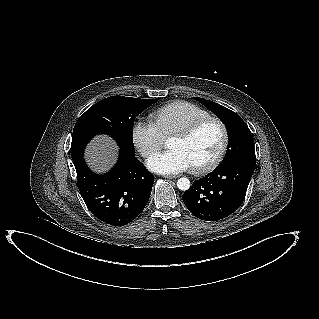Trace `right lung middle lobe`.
<instances>
[{"instance_id":"1","label":"right lung middle lobe","mask_w":319,"mask_h":319,"mask_svg":"<svg viewBox=\"0 0 319 319\" xmlns=\"http://www.w3.org/2000/svg\"><path fill=\"white\" fill-rule=\"evenodd\" d=\"M155 101L157 99L123 96H112L99 101L77 120L71 151L85 147L93 136L104 133L113 137L123 152L135 155L132 139L134 120Z\"/></svg>"}]
</instances>
